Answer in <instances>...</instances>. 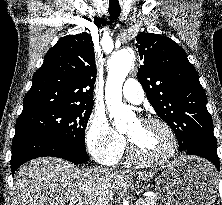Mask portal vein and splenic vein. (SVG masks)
<instances>
[{
	"instance_id": "18ae733b",
	"label": "portal vein and splenic vein",
	"mask_w": 222,
	"mask_h": 205,
	"mask_svg": "<svg viewBox=\"0 0 222 205\" xmlns=\"http://www.w3.org/2000/svg\"><path fill=\"white\" fill-rule=\"evenodd\" d=\"M146 196H150V194H149V193H146Z\"/></svg>"
}]
</instances>
